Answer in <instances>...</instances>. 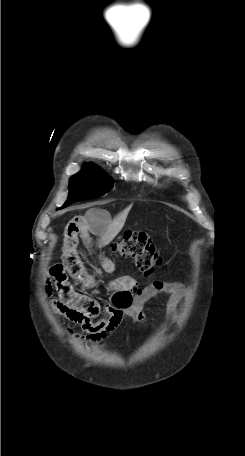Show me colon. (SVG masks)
<instances>
[{
  "mask_svg": "<svg viewBox=\"0 0 245 456\" xmlns=\"http://www.w3.org/2000/svg\"><path fill=\"white\" fill-rule=\"evenodd\" d=\"M110 249L123 258H131L135 266L148 277L159 264L155 248L144 232H127L119 241L113 242ZM154 286L161 287V283L155 282Z\"/></svg>",
  "mask_w": 245,
  "mask_h": 456,
  "instance_id": "5ec220e1",
  "label": "colon"
}]
</instances>
